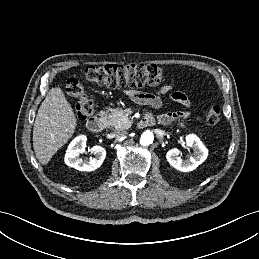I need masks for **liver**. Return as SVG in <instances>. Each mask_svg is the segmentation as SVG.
I'll return each mask as SVG.
<instances>
[{
  "label": "liver",
  "instance_id": "1",
  "mask_svg": "<svg viewBox=\"0 0 259 259\" xmlns=\"http://www.w3.org/2000/svg\"><path fill=\"white\" fill-rule=\"evenodd\" d=\"M77 126L74 111L60 87L51 88L39 107L33 128V148L42 165L72 137Z\"/></svg>",
  "mask_w": 259,
  "mask_h": 259
}]
</instances>
